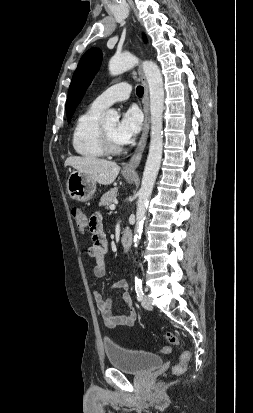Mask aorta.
I'll return each instance as SVG.
<instances>
[{"instance_id": "762f6f07", "label": "aorta", "mask_w": 253, "mask_h": 413, "mask_svg": "<svg viewBox=\"0 0 253 413\" xmlns=\"http://www.w3.org/2000/svg\"><path fill=\"white\" fill-rule=\"evenodd\" d=\"M139 63V59L132 54L113 56L108 65L111 75L116 76L133 68ZM142 69L147 79L150 94L151 114V140L149 153L146 160L142 183L138 192L136 224L134 231V245L137 247L143 230L146 208L151 197L155 181L162 159L163 151V110H164V87L163 78L159 67L152 61H144ZM120 115L114 109L105 113L106 123H116Z\"/></svg>"}]
</instances>
